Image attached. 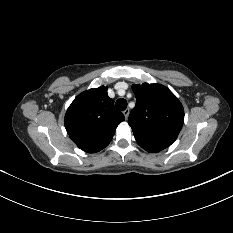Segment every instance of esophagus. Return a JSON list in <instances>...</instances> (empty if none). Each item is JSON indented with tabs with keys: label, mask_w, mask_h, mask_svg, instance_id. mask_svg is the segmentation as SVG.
<instances>
[{
	"label": "esophagus",
	"mask_w": 233,
	"mask_h": 233,
	"mask_svg": "<svg viewBox=\"0 0 233 233\" xmlns=\"http://www.w3.org/2000/svg\"><path fill=\"white\" fill-rule=\"evenodd\" d=\"M123 114H124V116H125V119H128V116H129V114H130V110L127 108V109H125L124 111H123Z\"/></svg>",
	"instance_id": "obj_1"
}]
</instances>
